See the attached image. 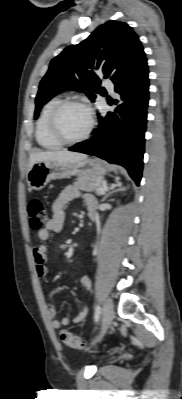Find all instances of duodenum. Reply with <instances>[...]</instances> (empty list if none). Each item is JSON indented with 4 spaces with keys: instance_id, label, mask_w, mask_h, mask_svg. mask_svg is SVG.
<instances>
[{
    "instance_id": "duodenum-1",
    "label": "duodenum",
    "mask_w": 182,
    "mask_h": 399,
    "mask_svg": "<svg viewBox=\"0 0 182 399\" xmlns=\"http://www.w3.org/2000/svg\"><path fill=\"white\" fill-rule=\"evenodd\" d=\"M88 216L90 220H95L96 219V210L95 209H89L88 211Z\"/></svg>"
}]
</instances>
